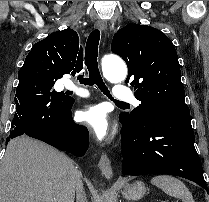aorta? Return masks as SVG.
<instances>
[{"mask_svg":"<svg viewBox=\"0 0 209 202\" xmlns=\"http://www.w3.org/2000/svg\"><path fill=\"white\" fill-rule=\"evenodd\" d=\"M102 68L104 76L114 83L124 81L127 76L125 63L116 56H105L102 60Z\"/></svg>","mask_w":209,"mask_h":202,"instance_id":"aorta-1","label":"aorta"}]
</instances>
